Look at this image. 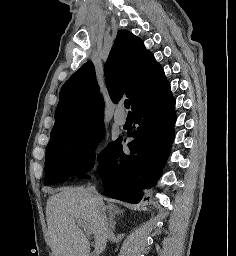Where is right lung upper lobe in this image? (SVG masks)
Instances as JSON below:
<instances>
[{"label":"right lung upper lobe","instance_id":"cb5924a9","mask_svg":"<svg viewBox=\"0 0 236 256\" xmlns=\"http://www.w3.org/2000/svg\"><path fill=\"white\" fill-rule=\"evenodd\" d=\"M105 82L113 102L125 93L131 108L167 82L163 68L142 40L120 30L105 64ZM103 111L92 62L81 66L62 86L50 140L84 124L99 122Z\"/></svg>","mask_w":236,"mask_h":256}]
</instances>
